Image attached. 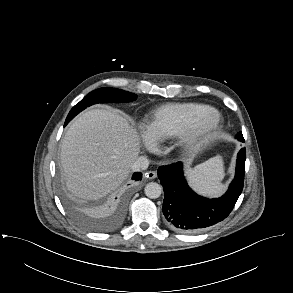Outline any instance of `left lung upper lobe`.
I'll return each mask as SVG.
<instances>
[{
    "instance_id": "5c2ea615",
    "label": "left lung upper lobe",
    "mask_w": 293,
    "mask_h": 293,
    "mask_svg": "<svg viewBox=\"0 0 293 293\" xmlns=\"http://www.w3.org/2000/svg\"><path fill=\"white\" fill-rule=\"evenodd\" d=\"M236 138H238V140H240V141L244 140L242 132L238 133Z\"/></svg>"
}]
</instances>
